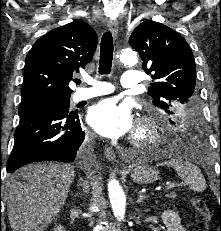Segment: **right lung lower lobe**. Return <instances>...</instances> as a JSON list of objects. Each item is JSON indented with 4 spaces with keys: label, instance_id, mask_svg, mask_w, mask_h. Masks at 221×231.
Masks as SVG:
<instances>
[{
    "label": "right lung lower lobe",
    "instance_id": "1",
    "mask_svg": "<svg viewBox=\"0 0 221 231\" xmlns=\"http://www.w3.org/2000/svg\"><path fill=\"white\" fill-rule=\"evenodd\" d=\"M15 142L7 172L39 161L72 162L85 133L76 112L44 106L19 114Z\"/></svg>",
    "mask_w": 221,
    "mask_h": 231
}]
</instances>
